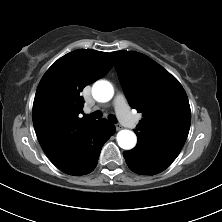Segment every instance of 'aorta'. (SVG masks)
I'll list each match as a JSON object with an SVG mask.
<instances>
[{
  "label": "aorta",
  "instance_id": "762f6f07",
  "mask_svg": "<svg viewBox=\"0 0 222 222\" xmlns=\"http://www.w3.org/2000/svg\"><path fill=\"white\" fill-rule=\"evenodd\" d=\"M114 94L111 83L105 80H99L92 87V95L99 102H108ZM136 135L130 130H121L117 134L118 145L125 149H132L136 145Z\"/></svg>",
  "mask_w": 222,
  "mask_h": 222
}]
</instances>
